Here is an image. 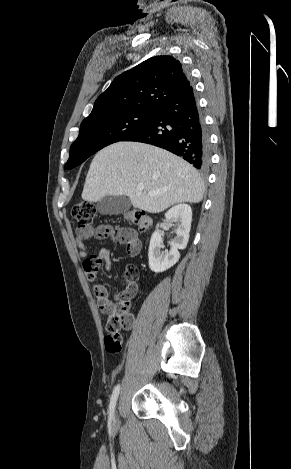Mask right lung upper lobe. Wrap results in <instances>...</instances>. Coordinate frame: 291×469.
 Here are the masks:
<instances>
[{
  "mask_svg": "<svg viewBox=\"0 0 291 469\" xmlns=\"http://www.w3.org/2000/svg\"><path fill=\"white\" fill-rule=\"evenodd\" d=\"M190 86L187 73L177 59L152 57L116 77L97 98L86 119L104 118L132 109L154 110L174 92Z\"/></svg>",
  "mask_w": 291,
  "mask_h": 469,
  "instance_id": "cb5924a9",
  "label": "right lung upper lobe"
}]
</instances>
